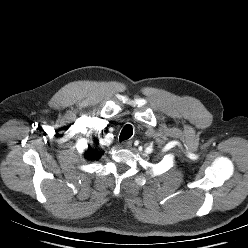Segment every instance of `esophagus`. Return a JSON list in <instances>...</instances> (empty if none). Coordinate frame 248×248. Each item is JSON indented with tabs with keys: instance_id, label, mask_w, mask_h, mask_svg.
I'll list each match as a JSON object with an SVG mask.
<instances>
[{
	"instance_id": "esophagus-1",
	"label": "esophagus",
	"mask_w": 248,
	"mask_h": 248,
	"mask_svg": "<svg viewBox=\"0 0 248 248\" xmlns=\"http://www.w3.org/2000/svg\"><path fill=\"white\" fill-rule=\"evenodd\" d=\"M123 146H124L125 148H130V147L132 146V141H126V142H124V143H123Z\"/></svg>"
}]
</instances>
